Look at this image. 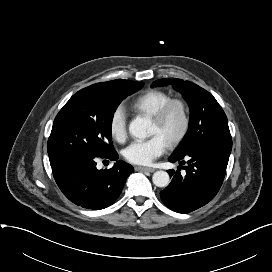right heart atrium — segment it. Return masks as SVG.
<instances>
[{"label": "right heart atrium", "mask_w": 272, "mask_h": 272, "mask_svg": "<svg viewBox=\"0 0 272 272\" xmlns=\"http://www.w3.org/2000/svg\"><path fill=\"white\" fill-rule=\"evenodd\" d=\"M109 132L112 138L123 142L127 136L126 113L122 107H117L109 119Z\"/></svg>", "instance_id": "right-heart-atrium-1"}]
</instances>
